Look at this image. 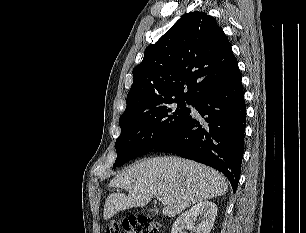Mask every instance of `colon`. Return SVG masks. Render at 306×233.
Segmentation results:
<instances>
[{"label": "colon", "instance_id": "obj_1", "mask_svg": "<svg viewBox=\"0 0 306 233\" xmlns=\"http://www.w3.org/2000/svg\"><path fill=\"white\" fill-rule=\"evenodd\" d=\"M160 224L150 216H133L124 220H111L104 227V233H158Z\"/></svg>", "mask_w": 306, "mask_h": 233}]
</instances>
